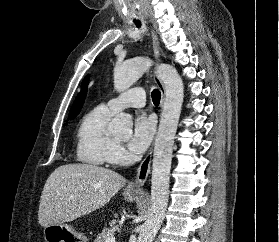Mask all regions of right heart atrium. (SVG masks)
<instances>
[{"mask_svg": "<svg viewBox=\"0 0 279 242\" xmlns=\"http://www.w3.org/2000/svg\"><path fill=\"white\" fill-rule=\"evenodd\" d=\"M127 158V153L121 145H117L114 151L112 162L121 163Z\"/></svg>", "mask_w": 279, "mask_h": 242, "instance_id": "obj_1", "label": "right heart atrium"}]
</instances>
